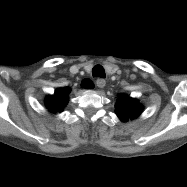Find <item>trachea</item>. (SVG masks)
Instances as JSON below:
<instances>
[{"instance_id": "obj_1", "label": "trachea", "mask_w": 187, "mask_h": 187, "mask_svg": "<svg viewBox=\"0 0 187 187\" xmlns=\"http://www.w3.org/2000/svg\"><path fill=\"white\" fill-rule=\"evenodd\" d=\"M93 77L105 78V70L101 65H95L92 69Z\"/></svg>"}]
</instances>
